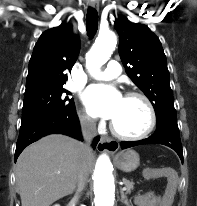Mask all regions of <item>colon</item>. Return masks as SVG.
Here are the masks:
<instances>
[{
    "label": "colon",
    "instance_id": "obj_1",
    "mask_svg": "<svg viewBox=\"0 0 197 206\" xmlns=\"http://www.w3.org/2000/svg\"><path fill=\"white\" fill-rule=\"evenodd\" d=\"M175 192V184L173 182L169 183L164 198H163V206H171L173 197Z\"/></svg>",
    "mask_w": 197,
    "mask_h": 206
}]
</instances>
